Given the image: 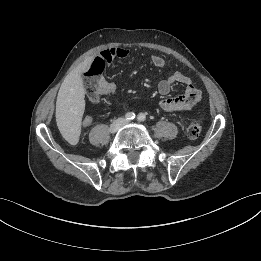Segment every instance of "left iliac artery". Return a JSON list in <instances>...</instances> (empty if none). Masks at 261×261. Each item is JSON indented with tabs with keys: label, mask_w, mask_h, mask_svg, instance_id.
<instances>
[{
	"label": "left iliac artery",
	"mask_w": 261,
	"mask_h": 261,
	"mask_svg": "<svg viewBox=\"0 0 261 261\" xmlns=\"http://www.w3.org/2000/svg\"><path fill=\"white\" fill-rule=\"evenodd\" d=\"M145 119H146V116H145V114H143V113H140V114L137 116V120H138L139 122H143V121H145Z\"/></svg>",
	"instance_id": "44dca946"
}]
</instances>
